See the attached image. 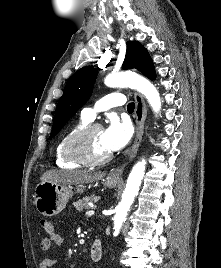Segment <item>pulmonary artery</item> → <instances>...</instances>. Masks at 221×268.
Returning a JSON list of instances; mask_svg holds the SVG:
<instances>
[{"label": "pulmonary artery", "mask_w": 221, "mask_h": 268, "mask_svg": "<svg viewBox=\"0 0 221 268\" xmlns=\"http://www.w3.org/2000/svg\"><path fill=\"white\" fill-rule=\"evenodd\" d=\"M125 103V97L121 93H111L100 99L93 108H84L81 116L88 121H93L98 112L110 109L116 106H122Z\"/></svg>", "instance_id": "e3ab8cb5"}]
</instances>
